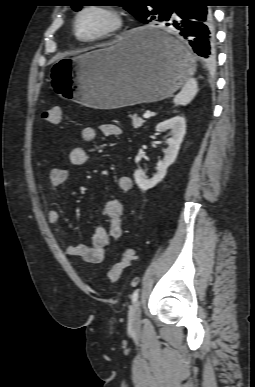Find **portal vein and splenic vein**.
<instances>
[{
    "mask_svg": "<svg viewBox=\"0 0 255 387\" xmlns=\"http://www.w3.org/2000/svg\"><path fill=\"white\" fill-rule=\"evenodd\" d=\"M151 116H152V113H150L148 111L146 113H144V115H143V117L146 119L150 118Z\"/></svg>",
    "mask_w": 255,
    "mask_h": 387,
    "instance_id": "18ae733b",
    "label": "portal vein and splenic vein"
}]
</instances>
